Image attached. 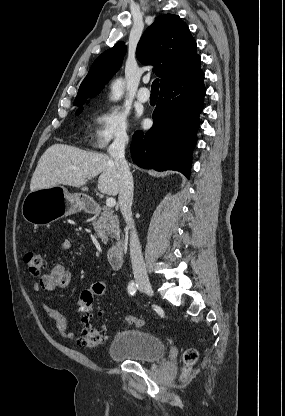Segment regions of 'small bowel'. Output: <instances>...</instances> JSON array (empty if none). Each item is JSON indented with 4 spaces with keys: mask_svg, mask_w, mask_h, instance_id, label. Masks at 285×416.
Returning a JSON list of instances; mask_svg holds the SVG:
<instances>
[{
    "mask_svg": "<svg viewBox=\"0 0 285 416\" xmlns=\"http://www.w3.org/2000/svg\"><path fill=\"white\" fill-rule=\"evenodd\" d=\"M61 251H67L71 248V242L68 239H63L59 243ZM72 280V273L69 269L61 264H54L49 272L42 275L38 282L34 283L33 289L35 291H54L56 289L67 288ZM44 312L55 321V329L59 336L66 339H75V334L68 330L65 316L58 310L43 304Z\"/></svg>",
    "mask_w": 285,
    "mask_h": 416,
    "instance_id": "1",
    "label": "small bowel"
}]
</instances>
